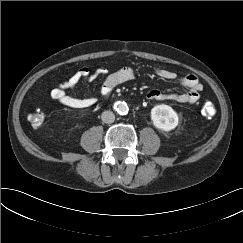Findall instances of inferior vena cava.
<instances>
[{"label": "inferior vena cava", "instance_id": "inferior-vena-cava-1", "mask_svg": "<svg viewBox=\"0 0 243 243\" xmlns=\"http://www.w3.org/2000/svg\"><path fill=\"white\" fill-rule=\"evenodd\" d=\"M102 121L104 123H113L115 120V115L112 111H104L101 115Z\"/></svg>", "mask_w": 243, "mask_h": 243}]
</instances>
